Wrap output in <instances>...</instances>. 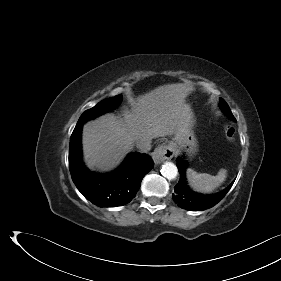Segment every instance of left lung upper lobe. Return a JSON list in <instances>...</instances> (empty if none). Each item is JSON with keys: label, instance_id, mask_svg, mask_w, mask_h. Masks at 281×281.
<instances>
[{"label": "left lung upper lobe", "instance_id": "obj_1", "mask_svg": "<svg viewBox=\"0 0 281 281\" xmlns=\"http://www.w3.org/2000/svg\"><path fill=\"white\" fill-rule=\"evenodd\" d=\"M220 107L232 120H235L229 106L222 98H220Z\"/></svg>", "mask_w": 281, "mask_h": 281}]
</instances>
